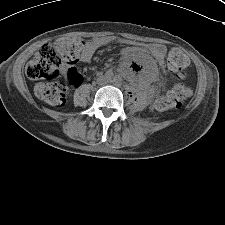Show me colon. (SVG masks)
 I'll list each match as a JSON object with an SVG mask.
<instances>
[{
	"label": "colon",
	"instance_id": "5ec220e1",
	"mask_svg": "<svg viewBox=\"0 0 225 225\" xmlns=\"http://www.w3.org/2000/svg\"><path fill=\"white\" fill-rule=\"evenodd\" d=\"M82 39L79 37H61L53 43L44 44L26 66V75L30 80L39 81L35 86L36 96L50 106L60 107L68 96L67 84L54 81L59 72L66 67L67 83L73 86L81 84L83 75L72 67L79 58ZM186 54L178 49L169 52L167 68L181 78L188 65ZM190 95L183 84L175 85L170 91L157 97L155 108L166 111L179 108Z\"/></svg>",
	"mask_w": 225,
	"mask_h": 225
}]
</instances>
